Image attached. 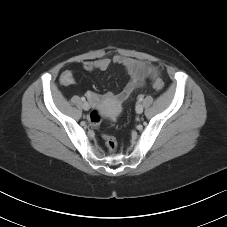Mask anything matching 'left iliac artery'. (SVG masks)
<instances>
[{
  "mask_svg": "<svg viewBox=\"0 0 227 227\" xmlns=\"http://www.w3.org/2000/svg\"><path fill=\"white\" fill-rule=\"evenodd\" d=\"M143 100V96L139 97V102H141Z\"/></svg>",
  "mask_w": 227,
  "mask_h": 227,
  "instance_id": "obj_1",
  "label": "left iliac artery"
}]
</instances>
